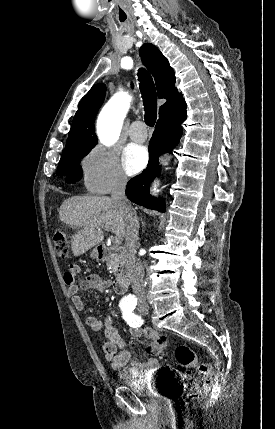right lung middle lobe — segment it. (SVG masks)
<instances>
[{
  "mask_svg": "<svg viewBox=\"0 0 275 429\" xmlns=\"http://www.w3.org/2000/svg\"><path fill=\"white\" fill-rule=\"evenodd\" d=\"M87 154L88 152L62 156L57 168V175L65 176L67 183H75L80 180L82 176L80 161Z\"/></svg>",
  "mask_w": 275,
  "mask_h": 429,
  "instance_id": "dd1d6c3e",
  "label": "right lung middle lobe"
}]
</instances>
